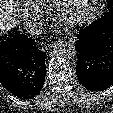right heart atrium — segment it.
I'll return each mask as SVG.
<instances>
[{"instance_id": "1", "label": "right heart atrium", "mask_w": 113, "mask_h": 113, "mask_svg": "<svg viewBox=\"0 0 113 113\" xmlns=\"http://www.w3.org/2000/svg\"><path fill=\"white\" fill-rule=\"evenodd\" d=\"M21 17L26 26L30 29H35L39 27L43 21L42 14L29 7L22 9Z\"/></svg>"}]
</instances>
